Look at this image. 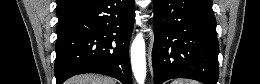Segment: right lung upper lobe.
I'll list each match as a JSON object with an SVG mask.
<instances>
[{
	"label": "right lung upper lobe",
	"instance_id": "obj_1",
	"mask_svg": "<svg viewBox=\"0 0 260 84\" xmlns=\"http://www.w3.org/2000/svg\"><path fill=\"white\" fill-rule=\"evenodd\" d=\"M93 0H57V15L59 23L75 12L87 6Z\"/></svg>",
	"mask_w": 260,
	"mask_h": 84
}]
</instances>
